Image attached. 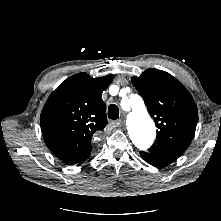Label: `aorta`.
I'll use <instances>...</instances> for the list:
<instances>
[{"mask_svg": "<svg viewBox=\"0 0 221 221\" xmlns=\"http://www.w3.org/2000/svg\"><path fill=\"white\" fill-rule=\"evenodd\" d=\"M127 103L131 112L127 117V128L131 141L140 150L149 148L156 135V127L148 115L140 97L131 95L130 99L122 102Z\"/></svg>", "mask_w": 221, "mask_h": 221, "instance_id": "762f6f07", "label": "aorta"}]
</instances>
